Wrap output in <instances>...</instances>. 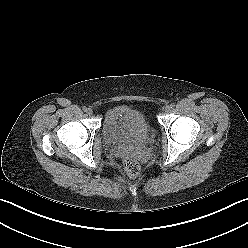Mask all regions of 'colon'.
Returning <instances> with one entry per match:
<instances>
[{
	"instance_id": "obj_1",
	"label": "colon",
	"mask_w": 248,
	"mask_h": 248,
	"mask_svg": "<svg viewBox=\"0 0 248 248\" xmlns=\"http://www.w3.org/2000/svg\"><path fill=\"white\" fill-rule=\"evenodd\" d=\"M123 173L128 177H136L140 172V164L132 155H126L123 159Z\"/></svg>"
}]
</instances>
